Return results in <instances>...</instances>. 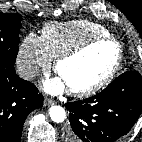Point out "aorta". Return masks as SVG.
I'll list each match as a JSON object with an SVG mask.
<instances>
[{
    "mask_svg": "<svg viewBox=\"0 0 142 142\" xmlns=\"http://www.w3.org/2000/svg\"><path fill=\"white\" fill-rule=\"evenodd\" d=\"M50 118L55 123H61L66 118V113L63 107L54 105L49 110Z\"/></svg>",
    "mask_w": 142,
    "mask_h": 142,
    "instance_id": "762f6f07",
    "label": "aorta"
}]
</instances>
